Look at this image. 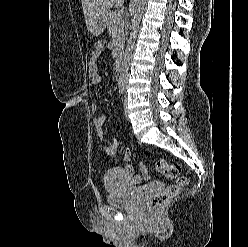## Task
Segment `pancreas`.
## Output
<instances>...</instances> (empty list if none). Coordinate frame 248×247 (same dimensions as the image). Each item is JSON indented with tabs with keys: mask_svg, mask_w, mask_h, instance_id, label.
Wrapping results in <instances>:
<instances>
[{
	"mask_svg": "<svg viewBox=\"0 0 248 247\" xmlns=\"http://www.w3.org/2000/svg\"><path fill=\"white\" fill-rule=\"evenodd\" d=\"M106 25L110 35L116 33L115 41L117 44V49L118 51H120L123 47L124 41V20L121 17L117 16L115 12L108 11L106 13Z\"/></svg>",
	"mask_w": 248,
	"mask_h": 247,
	"instance_id": "cf45deb5",
	"label": "pancreas"
}]
</instances>
